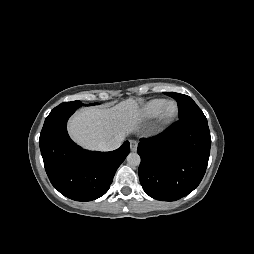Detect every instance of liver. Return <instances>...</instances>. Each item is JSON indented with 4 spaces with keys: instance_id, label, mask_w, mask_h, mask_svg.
<instances>
[{
    "instance_id": "6515ba94",
    "label": "liver",
    "mask_w": 254,
    "mask_h": 254,
    "mask_svg": "<svg viewBox=\"0 0 254 254\" xmlns=\"http://www.w3.org/2000/svg\"><path fill=\"white\" fill-rule=\"evenodd\" d=\"M140 120L138 101L129 98L111 108L89 107L77 112L69 122L72 139L90 150L117 136L133 132Z\"/></svg>"
}]
</instances>
